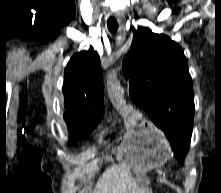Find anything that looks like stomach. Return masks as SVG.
I'll use <instances>...</instances> for the list:
<instances>
[{"label": "stomach", "mask_w": 221, "mask_h": 193, "mask_svg": "<svg viewBox=\"0 0 221 193\" xmlns=\"http://www.w3.org/2000/svg\"><path fill=\"white\" fill-rule=\"evenodd\" d=\"M125 101V98H110V103H114L118 112H122L124 120L131 127V133H128L131 142H127L123 159H119L118 163L122 167H135L138 177H145L148 167H157L164 163L163 159L168 158V142H164L163 133H160L157 125L143 120V115H137V110Z\"/></svg>", "instance_id": "obj_1"}]
</instances>
